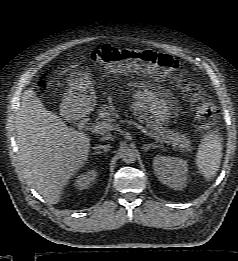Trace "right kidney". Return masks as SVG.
I'll return each mask as SVG.
<instances>
[{
    "instance_id": "1",
    "label": "right kidney",
    "mask_w": 238,
    "mask_h": 261,
    "mask_svg": "<svg viewBox=\"0 0 238 261\" xmlns=\"http://www.w3.org/2000/svg\"><path fill=\"white\" fill-rule=\"evenodd\" d=\"M97 172L95 170H88L79 175L75 181V186L82 190L88 188L96 179Z\"/></svg>"
}]
</instances>
